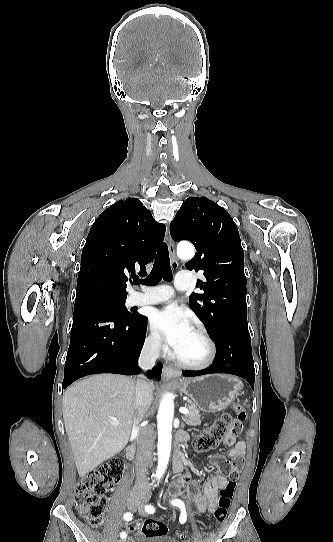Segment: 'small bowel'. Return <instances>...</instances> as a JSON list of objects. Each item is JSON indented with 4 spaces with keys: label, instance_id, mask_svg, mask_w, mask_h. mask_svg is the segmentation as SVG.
<instances>
[{
    "label": "small bowel",
    "instance_id": "small-bowel-1",
    "mask_svg": "<svg viewBox=\"0 0 333 542\" xmlns=\"http://www.w3.org/2000/svg\"><path fill=\"white\" fill-rule=\"evenodd\" d=\"M182 437L183 441L188 440V436L182 435ZM224 442L226 445L232 446L231 450L229 451L230 457H232L233 459L243 458L246 447V443L243 440H238L236 436L229 434L225 437ZM211 460L218 461L219 455L212 454ZM190 479V472L177 475V478L172 483H170L168 487L169 493L176 496L182 495L183 487L185 486V484L190 482ZM229 484L235 485L236 479H228L220 474L211 475L203 485L202 489L195 496V505L197 511L202 513L212 512L217 503L219 489ZM140 528L141 523L139 521L123 524V529L127 532L139 531ZM179 536L181 538L183 537L182 534H179ZM128 542H136V540L134 538H129Z\"/></svg>",
    "mask_w": 333,
    "mask_h": 542
}]
</instances>
